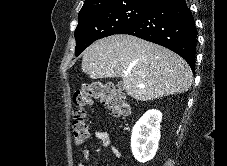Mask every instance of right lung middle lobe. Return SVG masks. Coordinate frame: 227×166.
<instances>
[{
	"mask_svg": "<svg viewBox=\"0 0 227 166\" xmlns=\"http://www.w3.org/2000/svg\"><path fill=\"white\" fill-rule=\"evenodd\" d=\"M152 6L131 2L79 14L75 30L76 57L97 39L118 34L142 18Z\"/></svg>",
	"mask_w": 227,
	"mask_h": 166,
	"instance_id": "right-lung-middle-lobe-1",
	"label": "right lung middle lobe"
}]
</instances>
